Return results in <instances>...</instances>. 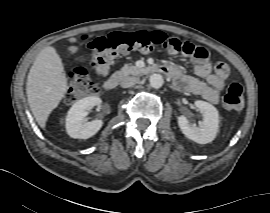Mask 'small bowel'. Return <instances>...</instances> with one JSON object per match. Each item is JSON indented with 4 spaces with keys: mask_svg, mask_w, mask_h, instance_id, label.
<instances>
[{
    "mask_svg": "<svg viewBox=\"0 0 270 213\" xmlns=\"http://www.w3.org/2000/svg\"><path fill=\"white\" fill-rule=\"evenodd\" d=\"M163 47L170 50L171 45L166 43ZM77 50L78 47L75 45L70 47L72 53L77 52ZM192 64L196 77L181 73L180 69L173 65H165V67L171 72L170 78L178 89L200 95L205 100L216 103L225 87L226 77H222L216 72L214 63L208 58H193ZM95 72L99 77L106 78L110 74V66L98 64L95 67Z\"/></svg>",
    "mask_w": 270,
    "mask_h": 213,
    "instance_id": "small-bowel-1",
    "label": "small bowel"
}]
</instances>
